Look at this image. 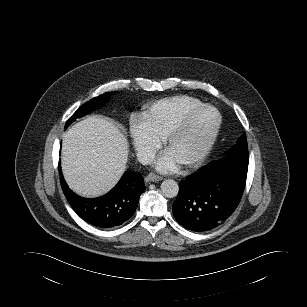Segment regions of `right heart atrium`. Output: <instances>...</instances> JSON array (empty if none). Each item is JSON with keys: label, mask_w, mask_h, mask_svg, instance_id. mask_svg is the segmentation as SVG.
Instances as JSON below:
<instances>
[{"label": "right heart atrium", "mask_w": 307, "mask_h": 307, "mask_svg": "<svg viewBox=\"0 0 307 307\" xmlns=\"http://www.w3.org/2000/svg\"><path fill=\"white\" fill-rule=\"evenodd\" d=\"M130 133L138 158L143 162L151 161L160 147V141L149 132L142 121L133 120Z\"/></svg>", "instance_id": "d8ad5b80"}]
</instances>
